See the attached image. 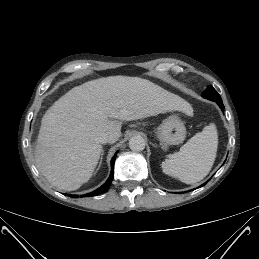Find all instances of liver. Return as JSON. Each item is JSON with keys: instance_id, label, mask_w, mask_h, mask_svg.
I'll use <instances>...</instances> for the list:
<instances>
[{"instance_id": "obj_1", "label": "liver", "mask_w": 259, "mask_h": 259, "mask_svg": "<svg viewBox=\"0 0 259 259\" xmlns=\"http://www.w3.org/2000/svg\"><path fill=\"white\" fill-rule=\"evenodd\" d=\"M181 111L190 104L149 80L109 76L76 86L44 114L35 162L58 190L73 191L92 177L102 153L96 137L106 132L109 143L121 136L122 121Z\"/></svg>"}]
</instances>
